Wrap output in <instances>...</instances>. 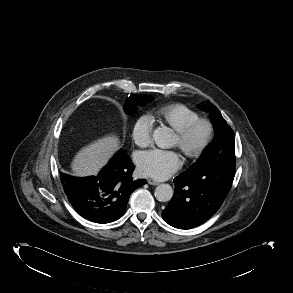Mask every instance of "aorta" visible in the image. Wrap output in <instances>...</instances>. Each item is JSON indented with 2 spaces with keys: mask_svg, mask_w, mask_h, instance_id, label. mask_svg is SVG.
Returning a JSON list of instances; mask_svg holds the SVG:
<instances>
[{
  "mask_svg": "<svg viewBox=\"0 0 293 293\" xmlns=\"http://www.w3.org/2000/svg\"><path fill=\"white\" fill-rule=\"evenodd\" d=\"M153 140L160 148H170L173 145V133L168 127H159L153 132ZM173 189L169 184H160L155 189V197L162 202L170 201L173 197Z\"/></svg>",
  "mask_w": 293,
  "mask_h": 293,
  "instance_id": "1",
  "label": "aorta"
}]
</instances>
